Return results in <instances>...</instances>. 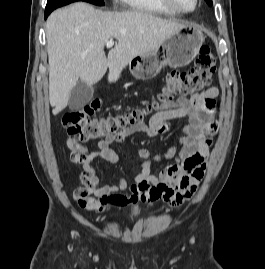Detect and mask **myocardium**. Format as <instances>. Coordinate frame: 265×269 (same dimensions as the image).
<instances>
[{
    "label": "myocardium",
    "mask_w": 265,
    "mask_h": 269,
    "mask_svg": "<svg viewBox=\"0 0 265 269\" xmlns=\"http://www.w3.org/2000/svg\"><path fill=\"white\" fill-rule=\"evenodd\" d=\"M162 4H164L166 7H168L169 9H171L174 12L177 13H183V14H187V13H192L193 11H195V9L198 6V2L199 0H194V6L192 9H183L181 7H179L174 0H160Z\"/></svg>",
    "instance_id": "1"
}]
</instances>
